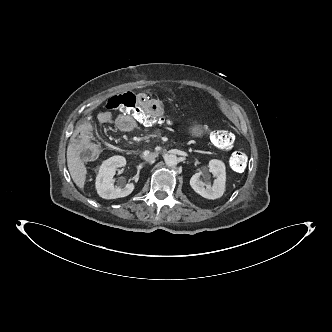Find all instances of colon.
Instances as JSON below:
<instances>
[{
    "instance_id": "colon-1",
    "label": "colon",
    "mask_w": 332,
    "mask_h": 332,
    "mask_svg": "<svg viewBox=\"0 0 332 332\" xmlns=\"http://www.w3.org/2000/svg\"><path fill=\"white\" fill-rule=\"evenodd\" d=\"M136 97L134 94L127 92L111 97L106 105L105 111H118L124 114L132 115L138 120L142 127H153L154 125H173L174 121L167 119L163 114L161 117H154L151 114L145 113L136 104ZM208 136L214 144L223 150H228L233 147L235 142L234 135L226 130H218L209 132ZM73 145L77 152L85 159H93L99 154L97 145L84 136H77ZM247 164V156L243 152H234L230 157V166L232 170L241 172Z\"/></svg>"
}]
</instances>
